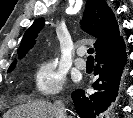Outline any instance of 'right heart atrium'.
I'll return each instance as SVG.
<instances>
[{
    "label": "right heart atrium",
    "instance_id": "right-heart-atrium-1",
    "mask_svg": "<svg viewBox=\"0 0 133 118\" xmlns=\"http://www.w3.org/2000/svg\"><path fill=\"white\" fill-rule=\"evenodd\" d=\"M35 90L41 97H50L63 90L65 73L53 58L40 61L35 68Z\"/></svg>",
    "mask_w": 133,
    "mask_h": 118
}]
</instances>
